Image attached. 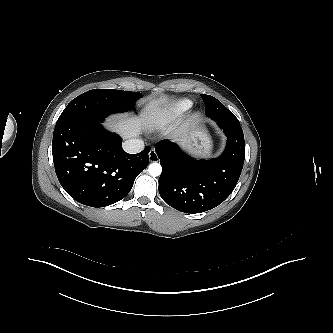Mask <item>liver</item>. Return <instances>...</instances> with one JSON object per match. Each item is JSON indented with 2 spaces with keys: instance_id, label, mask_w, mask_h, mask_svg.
<instances>
[{
  "instance_id": "liver-1",
  "label": "liver",
  "mask_w": 333,
  "mask_h": 333,
  "mask_svg": "<svg viewBox=\"0 0 333 333\" xmlns=\"http://www.w3.org/2000/svg\"><path fill=\"white\" fill-rule=\"evenodd\" d=\"M165 103V99H154L151 100L146 107L145 112L140 114V118L135 120L134 118H129L127 116H119L109 120V126L118 131L124 138L136 137L142 131V127L146 123H154L159 127H164L166 120L164 118L165 111L161 107ZM169 129H166L164 132L167 133ZM178 136L176 132L174 134ZM183 140V139H181Z\"/></svg>"
}]
</instances>
